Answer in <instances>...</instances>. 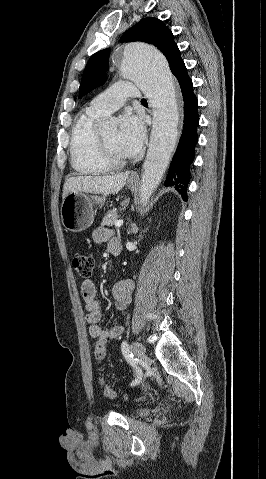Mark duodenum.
<instances>
[{"label":"duodenum","instance_id":"obj_1","mask_svg":"<svg viewBox=\"0 0 266 479\" xmlns=\"http://www.w3.org/2000/svg\"><path fill=\"white\" fill-rule=\"evenodd\" d=\"M120 242V241H119ZM117 242V241H112L111 244H110V252L113 254V255H118L120 254L121 252V244Z\"/></svg>","mask_w":266,"mask_h":479}]
</instances>
